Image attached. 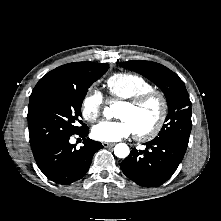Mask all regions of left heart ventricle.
I'll return each mask as SVG.
<instances>
[{"label":"left heart ventricle","mask_w":221,"mask_h":221,"mask_svg":"<svg viewBox=\"0 0 221 221\" xmlns=\"http://www.w3.org/2000/svg\"><path fill=\"white\" fill-rule=\"evenodd\" d=\"M159 115V105L152 100L139 109H132L126 105H119L116 116L127 120L134 132L146 131L153 126Z\"/></svg>","instance_id":"obj_1"}]
</instances>
